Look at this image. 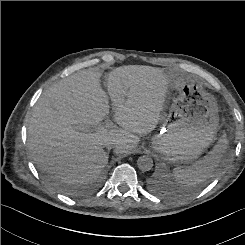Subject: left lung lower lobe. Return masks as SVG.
Instances as JSON below:
<instances>
[{"label": "left lung lower lobe", "instance_id": "0a47b994", "mask_svg": "<svg viewBox=\"0 0 245 245\" xmlns=\"http://www.w3.org/2000/svg\"><path fill=\"white\" fill-rule=\"evenodd\" d=\"M148 185L150 189L166 197L177 196L181 194L183 190L181 183L177 181H173V182L164 181L157 176L150 178Z\"/></svg>", "mask_w": 245, "mask_h": 245}]
</instances>
